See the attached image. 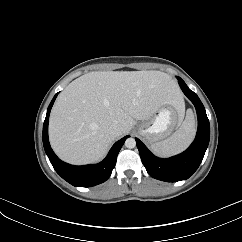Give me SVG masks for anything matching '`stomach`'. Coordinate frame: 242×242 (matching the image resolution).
Wrapping results in <instances>:
<instances>
[{"instance_id":"1","label":"stomach","mask_w":242,"mask_h":242,"mask_svg":"<svg viewBox=\"0 0 242 242\" xmlns=\"http://www.w3.org/2000/svg\"><path fill=\"white\" fill-rule=\"evenodd\" d=\"M183 115L184 112L172 106H162L157 115L139 125L138 133L149 144H154L168 137L181 124Z\"/></svg>"}]
</instances>
